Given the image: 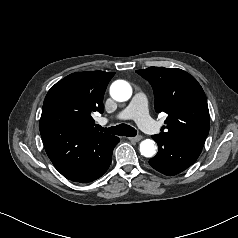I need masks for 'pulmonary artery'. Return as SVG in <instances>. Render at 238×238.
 Returning <instances> with one entry per match:
<instances>
[{
    "label": "pulmonary artery",
    "mask_w": 238,
    "mask_h": 238,
    "mask_svg": "<svg viewBox=\"0 0 238 238\" xmlns=\"http://www.w3.org/2000/svg\"><path fill=\"white\" fill-rule=\"evenodd\" d=\"M116 118L120 120L133 119L143 131L149 134H156L158 131L156 123L149 116L147 99L142 92L135 93L128 106L119 112ZM108 121L107 118L100 119L101 124H106Z\"/></svg>",
    "instance_id": "pulmonary-artery-1"
}]
</instances>
